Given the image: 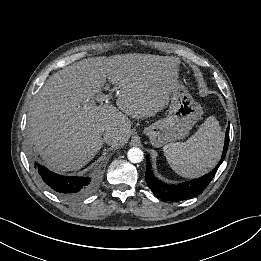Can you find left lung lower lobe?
I'll return each mask as SVG.
<instances>
[{
    "mask_svg": "<svg viewBox=\"0 0 261 261\" xmlns=\"http://www.w3.org/2000/svg\"><path fill=\"white\" fill-rule=\"evenodd\" d=\"M229 143V128L226 130L225 144L221 159L217 166L208 174L178 185H167L159 181L152 173L150 159L147 157L146 182L151 191L163 201H181L201 194L216 174L220 164L223 162Z\"/></svg>",
    "mask_w": 261,
    "mask_h": 261,
    "instance_id": "left-lung-lower-lobe-1",
    "label": "left lung lower lobe"
}]
</instances>
